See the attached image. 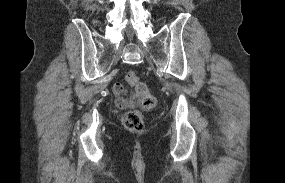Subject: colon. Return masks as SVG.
Instances as JSON below:
<instances>
[{"label":"colon","instance_id":"5ec220e1","mask_svg":"<svg viewBox=\"0 0 285 183\" xmlns=\"http://www.w3.org/2000/svg\"><path fill=\"white\" fill-rule=\"evenodd\" d=\"M125 79L127 83L135 89L130 106H135L138 103H140L144 109H151L155 106V97L151 94L148 87L140 82L135 72H127ZM122 121L128 130L139 132L144 129V116L142 112L137 109L126 110L122 116Z\"/></svg>","mask_w":285,"mask_h":183}]
</instances>
